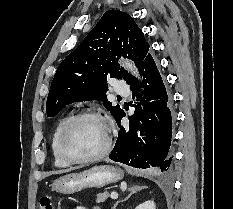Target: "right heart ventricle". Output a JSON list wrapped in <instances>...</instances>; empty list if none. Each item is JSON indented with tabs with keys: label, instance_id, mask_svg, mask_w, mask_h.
<instances>
[{
	"label": "right heart ventricle",
	"instance_id": "right-heart-ventricle-1",
	"mask_svg": "<svg viewBox=\"0 0 233 209\" xmlns=\"http://www.w3.org/2000/svg\"><path fill=\"white\" fill-rule=\"evenodd\" d=\"M68 118L67 117H63L59 120V122L57 123L52 138H51V152H52V156H53V160H54V164L57 167H66L69 166V163H67L66 161H64L58 152V139H59V135L61 132V129L64 125V123L66 122Z\"/></svg>",
	"mask_w": 233,
	"mask_h": 209
}]
</instances>
